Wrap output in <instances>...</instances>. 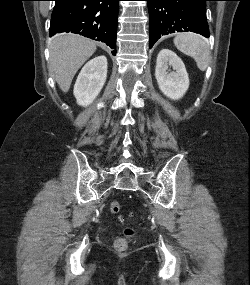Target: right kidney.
<instances>
[{
    "mask_svg": "<svg viewBox=\"0 0 250 285\" xmlns=\"http://www.w3.org/2000/svg\"><path fill=\"white\" fill-rule=\"evenodd\" d=\"M107 77V58L104 55L88 61L79 73L74 85V96L78 105L93 102L103 88Z\"/></svg>",
    "mask_w": 250,
    "mask_h": 285,
    "instance_id": "right-kidney-1",
    "label": "right kidney"
}]
</instances>
